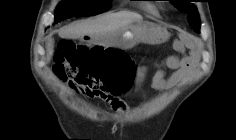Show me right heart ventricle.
<instances>
[{"mask_svg": "<svg viewBox=\"0 0 236 140\" xmlns=\"http://www.w3.org/2000/svg\"><path fill=\"white\" fill-rule=\"evenodd\" d=\"M138 8L146 14L155 15L157 13V8L153 4H141Z\"/></svg>", "mask_w": 236, "mask_h": 140, "instance_id": "e07e8e85", "label": "right heart ventricle"}]
</instances>
